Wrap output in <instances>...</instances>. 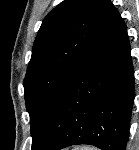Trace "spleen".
<instances>
[{
    "label": "spleen",
    "instance_id": "spleen-1",
    "mask_svg": "<svg viewBox=\"0 0 139 150\" xmlns=\"http://www.w3.org/2000/svg\"><path fill=\"white\" fill-rule=\"evenodd\" d=\"M80 150H95L93 148H81Z\"/></svg>",
    "mask_w": 139,
    "mask_h": 150
}]
</instances>
